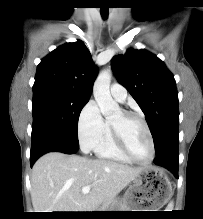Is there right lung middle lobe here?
<instances>
[{
    "instance_id": "obj_1",
    "label": "right lung middle lobe",
    "mask_w": 203,
    "mask_h": 219,
    "mask_svg": "<svg viewBox=\"0 0 203 219\" xmlns=\"http://www.w3.org/2000/svg\"><path fill=\"white\" fill-rule=\"evenodd\" d=\"M88 100L56 87H33L32 140L49 137L64 150L76 152L78 119Z\"/></svg>"
}]
</instances>
